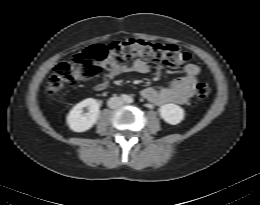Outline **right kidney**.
<instances>
[{
    "instance_id": "1",
    "label": "right kidney",
    "mask_w": 260,
    "mask_h": 205,
    "mask_svg": "<svg viewBox=\"0 0 260 205\" xmlns=\"http://www.w3.org/2000/svg\"><path fill=\"white\" fill-rule=\"evenodd\" d=\"M87 107L88 112L83 113V108ZM99 103L93 99L88 98L73 107L67 115V124L74 132H85L89 130L98 120L99 117Z\"/></svg>"
}]
</instances>
